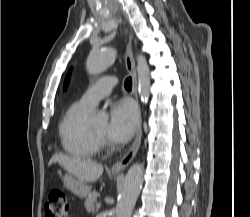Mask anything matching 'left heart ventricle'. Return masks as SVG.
Masks as SVG:
<instances>
[{
	"instance_id": "obj_1",
	"label": "left heart ventricle",
	"mask_w": 250,
	"mask_h": 217,
	"mask_svg": "<svg viewBox=\"0 0 250 217\" xmlns=\"http://www.w3.org/2000/svg\"><path fill=\"white\" fill-rule=\"evenodd\" d=\"M93 129L99 133L100 135L106 136L107 135V122L101 121V122H94L91 124Z\"/></svg>"
}]
</instances>
